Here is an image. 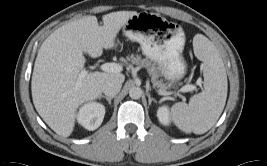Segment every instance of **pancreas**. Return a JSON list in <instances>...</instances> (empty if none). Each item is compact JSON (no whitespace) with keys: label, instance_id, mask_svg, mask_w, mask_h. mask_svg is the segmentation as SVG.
Masks as SVG:
<instances>
[{"label":"pancreas","instance_id":"cf45deb5","mask_svg":"<svg viewBox=\"0 0 267 166\" xmlns=\"http://www.w3.org/2000/svg\"><path fill=\"white\" fill-rule=\"evenodd\" d=\"M127 59L131 61L132 64L140 65L141 67H145L147 69L148 73L151 75V81L154 87L159 88L161 91H165L167 89L168 86L158 79L160 74L158 67H156L154 63H151V61L147 59H142L139 55L135 56L134 54H131V56Z\"/></svg>","mask_w":267,"mask_h":166}]
</instances>
